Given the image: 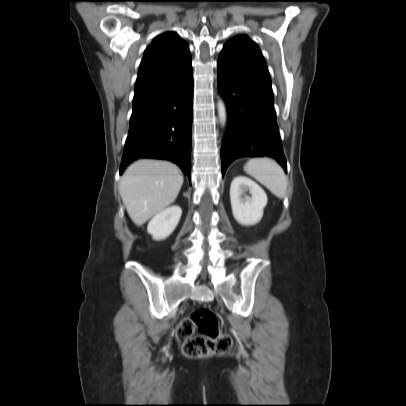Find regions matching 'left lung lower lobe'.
<instances>
[{
	"instance_id": "1",
	"label": "left lung lower lobe",
	"mask_w": 406,
	"mask_h": 406,
	"mask_svg": "<svg viewBox=\"0 0 406 406\" xmlns=\"http://www.w3.org/2000/svg\"><path fill=\"white\" fill-rule=\"evenodd\" d=\"M217 68L218 86L228 113L221 149L222 174L241 157H273L286 171L270 75L224 53L219 56Z\"/></svg>"
}]
</instances>
